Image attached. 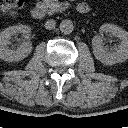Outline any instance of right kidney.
I'll return each instance as SVG.
<instances>
[{
    "label": "right kidney",
    "instance_id": "right-kidney-1",
    "mask_svg": "<svg viewBox=\"0 0 128 128\" xmlns=\"http://www.w3.org/2000/svg\"><path fill=\"white\" fill-rule=\"evenodd\" d=\"M31 28L27 25H16L6 28L0 33V58L4 61H20L32 52V44L28 41ZM21 34L27 41L17 48L9 47L12 36Z\"/></svg>",
    "mask_w": 128,
    "mask_h": 128
}]
</instances>
